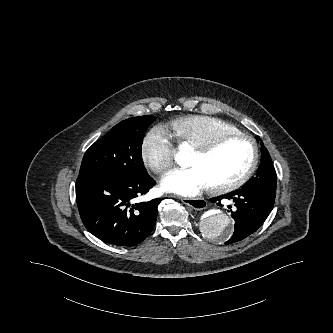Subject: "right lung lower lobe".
<instances>
[{"instance_id": "98d812e1", "label": "right lung lower lobe", "mask_w": 333, "mask_h": 333, "mask_svg": "<svg viewBox=\"0 0 333 333\" xmlns=\"http://www.w3.org/2000/svg\"><path fill=\"white\" fill-rule=\"evenodd\" d=\"M155 181L148 175L129 178L118 175L79 176L76 201L86 229L115 246H134L152 231L162 199L134 203Z\"/></svg>"}]
</instances>
